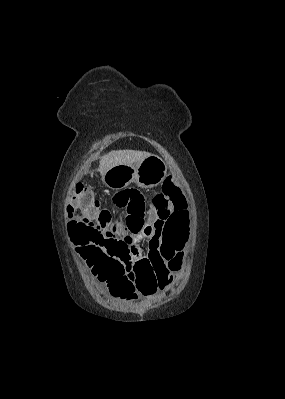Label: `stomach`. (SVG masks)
<instances>
[{"mask_svg": "<svg viewBox=\"0 0 285 399\" xmlns=\"http://www.w3.org/2000/svg\"><path fill=\"white\" fill-rule=\"evenodd\" d=\"M167 175V164L156 155H149L137 164L117 165L102 176V181L110 189L121 190L134 182L141 188L159 185Z\"/></svg>", "mask_w": 285, "mask_h": 399, "instance_id": "obj_1", "label": "stomach"}]
</instances>
